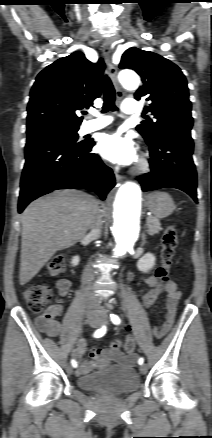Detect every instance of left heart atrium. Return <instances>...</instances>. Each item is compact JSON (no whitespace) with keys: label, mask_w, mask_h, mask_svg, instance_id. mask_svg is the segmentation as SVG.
Returning a JSON list of instances; mask_svg holds the SVG:
<instances>
[{"label":"left heart atrium","mask_w":212,"mask_h":438,"mask_svg":"<svg viewBox=\"0 0 212 438\" xmlns=\"http://www.w3.org/2000/svg\"><path fill=\"white\" fill-rule=\"evenodd\" d=\"M97 150L105 159L119 165H128L136 158L134 143L120 133L101 135Z\"/></svg>","instance_id":"obj_1"}]
</instances>
